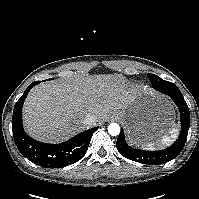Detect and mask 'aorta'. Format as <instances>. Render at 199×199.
<instances>
[{"label":"aorta","instance_id":"762f6f07","mask_svg":"<svg viewBox=\"0 0 199 199\" xmlns=\"http://www.w3.org/2000/svg\"><path fill=\"white\" fill-rule=\"evenodd\" d=\"M108 133L111 136H117L120 133V126L117 123H111L108 126Z\"/></svg>","mask_w":199,"mask_h":199}]
</instances>
